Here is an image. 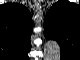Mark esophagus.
<instances>
[{
  "label": "esophagus",
  "instance_id": "esophagus-1",
  "mask_svg": "<svg viewBox=\"0 0 80 60\" xmlns=\"http://www.w3.org/2000/svg\"><path fill=\"white\" fill-rule=\"evenodd\" d=\"M36 11H37L38 13L41 12V9H40V7H39L38 5L36 6Z\"/></svg>",
  "mask_w": 80,
  "mask_h": 60
}]
</instances>
